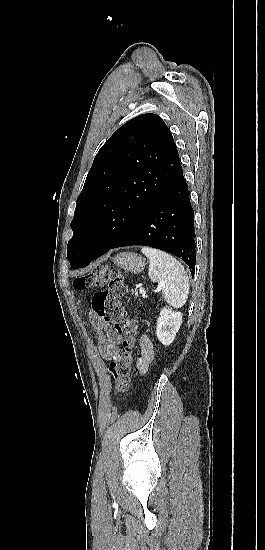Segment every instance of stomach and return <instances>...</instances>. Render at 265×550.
Instances as JSON below:
<instances>
[{"label": "stomach", "instance_id": "obj_1", "mask_svg": "<svg viewBox=\"0 0 265 550\" xmlns=\"http://www.w3.org/2000/svg\"><path fill=\"white\" fill-rule=\"evenodd\" d=\"M114 263L131 273H141L145 267V260L136 253L122 252L114 258Z\"/></svg>", "mask_w": 265, "mask_h": 550}]
</instances>
